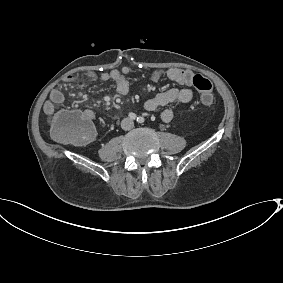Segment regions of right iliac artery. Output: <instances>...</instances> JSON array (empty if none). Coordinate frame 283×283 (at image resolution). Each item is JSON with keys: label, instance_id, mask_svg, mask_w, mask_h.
Listing matches in <instances>:
<instances>
[{"label": "right iliac artery", "instance_id": "obj_1", "mask_svg": "<svg viewBox=\"0 0 283 283\" xmlns=\"http://www.w3.org/2000/svg\"><path fill=\"white\" fill-rule=\"evenodd\" d=\"M128 117H129L130 119L134 120V119H136V114L130 112V113L128 114Z\"/></svg>", "mask_w": 283, "mask_h": 283}]
</instances>
